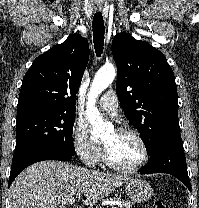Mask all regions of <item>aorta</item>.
Returning a JSON list of instances; mask_svg holds the SVG:
<instances>
[{
  "mask_svg": "<svg viewBox=\"0 0 199 208\" xmlns=\"http://www.w3.org/2000/svg\"><path fill=\"white\" fill-rule=\"evenodd\" d=\"M115 76V67L108 64L98 70L92 81L88 93L86 118L93 127L92 134L94 136H101L110 128V125L104 122L95 104L97 97L113 82Z\"/></svg>",
  "mask_w": 199,
  "mask_h": 208,
  "instance_id": "aorta-1",
  "label": "aorta"
}]
</instances>
